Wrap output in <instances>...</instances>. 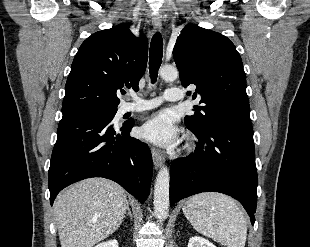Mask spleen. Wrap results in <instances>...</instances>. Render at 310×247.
<instances>
[{"label":"spleen","mask_w":310,"mask_h":247,"mask_svg":"<svg viewBox=\"0 0 310 247\" xmlns=\"http://www.w3.org/2000/svg\"><path fill=\"white\" fill-rule=\"evenodd\" d=\"M183 213L193 228L227 247H245L247 221L233 198L205 192L186 200Z\"/></svg>","instance_id":"obj_1"}]
</instances>
